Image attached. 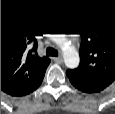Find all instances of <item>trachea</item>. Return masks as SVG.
Here are the masks:
<instances>
[{
  "label": "trachea",
  "mask_w": 115,
  "mask_h": 114,
  "mask_svg": "<svg viewBox=\"0 0 115 114\" xmlns=\"http://www.w3.org/2000/svg\"><path fill=\"white\" fill-rule=\"evenodd\" d=\"M46 55L47 56H58V51L52 47H48L46 49Z\"/></svg>",
  "instance_id": "3493384b"
}]
</instances>
